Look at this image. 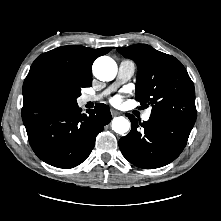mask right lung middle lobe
I'll use <instances>...</instances> for the list:
<instances>
[{"label":"right lung middle lobe","instance_id":"obj_1","mask_svg":"<svg viewBox=\"0 0 221 221\" xmlns=\"http://www.w3.org/2000/svg\"><path fill=\"white\" fill-rule=\"evenodd\" d=\"M83 87H90V85L79 83V82L70 84L67 87L68 97L66 99V103H76V98L81 95L80 90Z\"/></svg>","mask_w":221,"mask_h":221}]
</instances>
